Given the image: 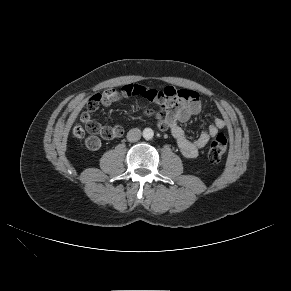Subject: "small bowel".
Masks as SVG:
<instances>
[{
  "instance_id": "small-bowel-1",
  "label": "small bowel",
  "mask_w": 291,
  "mask_h": 291,
  "mask_svg": "<svg viewBox=\"0 0 291 291\" xmlns=\"http://www.w3.org/2000/svg\"><path fill=\"white\" fill-rule=\"evenodd\" d=\"M100 95L103 99L99 105L103 106H110L121 98L132 97H143L148 101L157 103L160 106L159 110H146L145 114L156 120L159 129L170 130L182 155L190 159L195 158L199 150L204 148L209 140L227 125L224 119L214 118L208 128L202 131L196 139L191 140L187 136L182 125L202 110L200 95L193 89L166 86L162 90H156L138 84H126L119 91L111 89ZM113 127L120 128L123 133L121 126ZM86 146L90 150L98 149L100 146L99 138L86 140Z\"/></svg>"
}]
</instances>
